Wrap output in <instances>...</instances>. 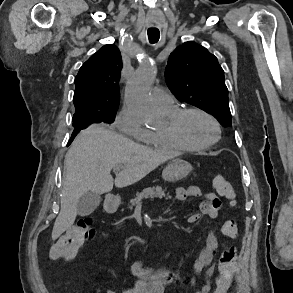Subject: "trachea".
Segmentation results:
<instances>
[{"label": "trachea", "instance_id": "trachea-1", "mask_svg": "<svg viewBox=\"0 0 293 293\" xmlns=\"http://www.w3.org/2000/svg\"><path fill=\"white\" fill-rule=\"evenodd\" d=\"M147 34L150 43L153 44L158 42L160 38V32L158 29H148Z\"/></svg>", "mask_w": 293, "mask_h": 293}]
</instances>
